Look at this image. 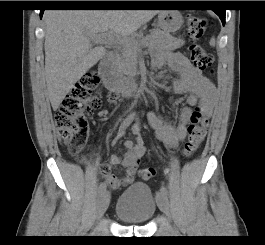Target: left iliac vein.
Wrapping results in <instances>:
<instances>
[{
    "mask_svg": "<svg viewBox=\"0 0 265 245\" xmlns=\"http://www.w3.org/2000/svg\"><path fill=\"white\" fill-rule=\"evenodd\" d=\"M157 202L160 210L168 217H171V209L169 205V199L166 194L159 193Z\"/></svg>",
    "mask_w": 265,
    "mask_h": 245,
    "instance_id": "1",
    "label": "left iliac vein"
}]
</instances>
